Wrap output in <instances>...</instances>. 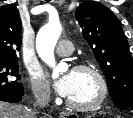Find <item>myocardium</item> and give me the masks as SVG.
<instances>
[{
    "mask_svg": "<svg viewBox=\"0 0 133 118\" xmlns=\"http://www.w3.org/2000/svg\"><path fill=\"white\" fill-rule=\"evenodd\" d=\"M74 71H88L92 73L97 80L99 92H98V96L96 97V99L92 101L91 103L82 105V104H76L70 101L69 99H67L66 105L71 110L76 111V112H90V111L97 109L105 102L108 96V85H107V82H106V79L103 73L95 65L86 64V63H81V64L76 65L74 67Z\"/></svg>",
    "mask_w": 133,
    "mask_h": 118,
    "instance_id": "1",
    "label": "myocardium"
}]
</instances>
